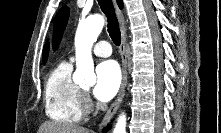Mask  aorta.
<instances>
[{"mask_svg": "<svg viewBox=\"0 0 221 133\" xmlns=\"http://www.w3.org/2000/svg\"><path fill=\"white\" fill-rule=\"evenodd\" d=\"M105 20L101 15H93L80 21L76 35V71L73 80L76 83L93 85L96 82L91 49L104 27ZM113 133H126V115L122 113Z\"/></svg>", "mask_w": 221, "mask_h": 133, "instance_id": "1", "label": "aorta"}]
</instances>
